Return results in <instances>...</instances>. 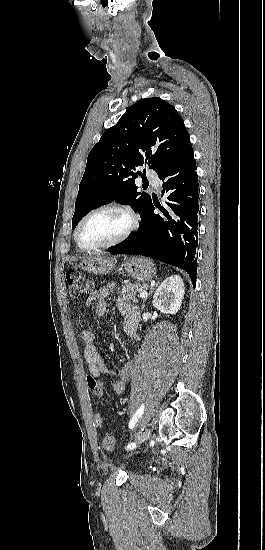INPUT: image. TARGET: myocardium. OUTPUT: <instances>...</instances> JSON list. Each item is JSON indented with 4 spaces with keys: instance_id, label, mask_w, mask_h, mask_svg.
Returning a JSON list of instances; mask_svg holds the SVG:
<instances>
[{
    "instance_id": "f54148a6",
    "label": "myocardium",
    "mask_w": 265,
    "mask_h": 550,
    "mask_svg": "<svg viewBox=\"0 0 265 550\" xmlns=\"http://www.w3.org/2000/svg\"><path fill=\"white\" fill-rule=\"evenodd\" d=\"M102 210H115V211H118V212L124 214L129 219L128 227L126 228V230L119 237H117L116 239H114V240H112L108 243L98 244V245L90 246V247L82 245L81 242L79 241V237H78L81 226L86 221V219H88L91 215H93L96 212L102 211ZM138 225H139V217L131 208H129L125 205L117 204V203H107V204L99 205V206L91 209L90 211H88L80 219V221L78 222V224L75 228L73 237H74V241L77 244L78 248L82 251H95V250H99V249H106V248H110V247L116 246V245L124 242L138 228Z\"/></svg>"
}]
</instances>
